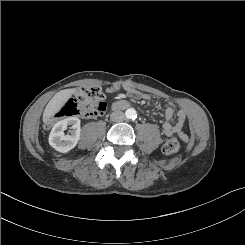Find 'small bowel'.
<instances>
[{
    "instance_id": "c3829d8e",
    "label": "small bowel",
    "mask_w": 245,
    "mask_h": 245,
    "mask_svg": "<svg viewBox=\"0 0 245 245\" xmlns=\"http://www.w3.org/2000/svg\"><path fill=\"white\" fill-rule=\"evenodd\" d=\"M123 88L126 90L129 97L137 100H149L150 95L144 92L133 89L130 85L124 84ZM109 92H113V88L108 89ZM127 103L125 101H119L114 103L115 108L118 105ZM186 121V113L183 109H177L173 104H170L165 110V122L162 125V131L166 136L172 134H178L182 139H186V135L183 132V126Z\"/></svg>"
}]
</instances>
